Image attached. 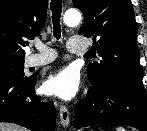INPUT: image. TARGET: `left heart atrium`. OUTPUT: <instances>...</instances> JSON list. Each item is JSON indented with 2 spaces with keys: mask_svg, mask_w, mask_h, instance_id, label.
<instances>
[{
  "mask_svg": "<svg viewBox=\"0 0 147 131\" xmlns=\"http://www.w3.org/2000/svg\"><path fill=\"white\" fill-rule=\"evenodd\" d=\"M80 79L78 73L72 68H65L50 76L44 82V89L48 95L70 100L79 91Z\"/></svg>",
  "mask_w": 147,
  "mask_h": 131,
  "instance_id": "39dd6f15",
  "label": "left heart atrium"
}]
</instances>
